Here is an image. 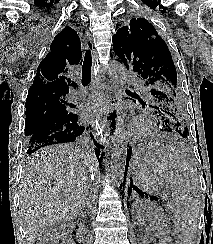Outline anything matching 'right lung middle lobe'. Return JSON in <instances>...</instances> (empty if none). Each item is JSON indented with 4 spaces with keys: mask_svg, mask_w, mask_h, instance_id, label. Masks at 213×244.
<instances>
[{
    "mask_svg": "<svg viewBox=\"0 0 213 244\" xmlns=\"http://www.w3.org/2000/svg\"><path fill=\"white\" fill-rule=\"evenodd\" d=\"M65 95L44 94L27 97L25 136L29 138L38 130L74 113L68 110L71 104L65 101Z\"/></svg>",
    "mask_w": 213,
    "mask_h": 244,
    "instance_id": "right-lung-middle-lobe-1",
    "label": "right lung middle lobe"
}]
</instances>
